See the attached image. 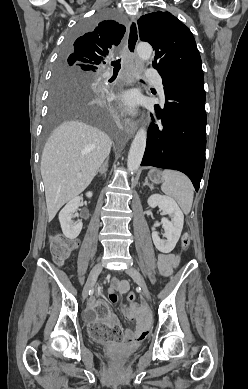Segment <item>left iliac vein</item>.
<instances>
[{
	"label": "left iliac vein",
	"instance_id": "obj_1",
	"mask_svg": "<svg viewBox=\"0 0 248 389\" xmlns=\"http://www.w3.org/2000/svg\"><path fill=\"white\" fill-rule=\"evenodd\" d=\"M126 273L133 278V280L140 286V288L142 289V293L143 295L146 297V299L149 301L150 300V292H149V289L146 285V282L143 278V276L140 274V272L133 268V267H129L127 270H126Z\"/></svg>",
	"mask_w": 248,
	"mask_h": 389
}]
</instances>
